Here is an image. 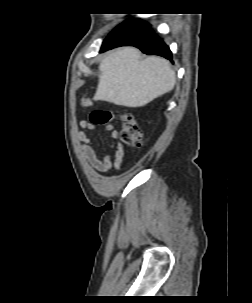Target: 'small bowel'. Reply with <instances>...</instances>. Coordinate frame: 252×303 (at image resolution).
Instances as JSON below:
<instances>
[{
	"label": "small bowel",
	"instance_id": "obj_1",
	"mask_svg": "<svg viewBox=\"0 0 252 303\" xmlns=\"http://www.w3.org/2000/svg\"><path fill=\"white\" fill-rule=\"evenodd\" d=\"M80 130L77 132V139L81 143L83 155L89 165L99 172L106 173L110 169L119 170L125 155L123 145L118 142V131L113 124L106 125V130L111 132V138L115 141L114 152L112 156L101 157L91 140L87 135V131L93 130L94 126L87 120L79 122Z\"/></svg>",
	"mask_w": 252,
	"mask_h": 303
}]
</instances>
